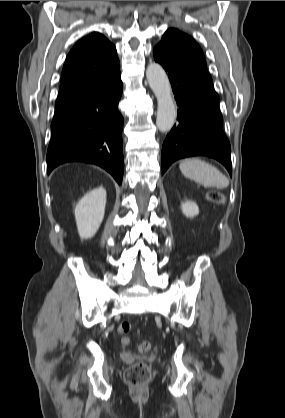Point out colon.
<instances>
[{"label": "colon", "mask_w": 285, "mask_h": 418, "mask_svg": "<svg viewBox=\"0 0 285 418\" xmlns=\"http://www.w3.org/2000/svg\"><path fill=\"white\" fill-rule=\"evenodd\" d=\"M209 197L216 202L223 200V195L219 192H210ZM132 325L129 321H123L118 326V333L122 336V343L128 344L129 338L127 334L131 331ZM141 352H147L150 349V343L147 340L141 341L138 345ZM151 378V368L144 362H137L127 368L124 372V379L130 386H140L146 384Z\"/></svg>", "instance_id": "colon-1"}]
</instances>
